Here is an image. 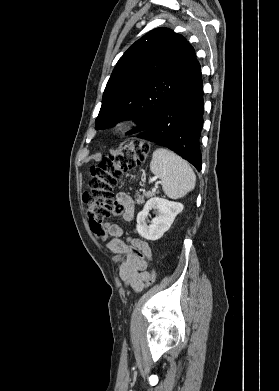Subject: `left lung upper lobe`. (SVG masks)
Returning <instances> with one entry per match:
<instances>
[{
    "instance_id": "1",
    "label": "left lung upper lobe",
    "mask_w": 279,
    "mask_h": 391,
    "mask_svg": "<svg viewBox=\"0 0 279 391\" xmlns=\"http://www.w3.org/2000/svg\"><path fill=\"white\" fill-rule=\"evenodd\" d=\"M199 65L194 48L182 35L168 28L148 32L116 64L95 127L133 119L138 126L127 134L146 130Z\"/></svg>"
}]
</instances>
